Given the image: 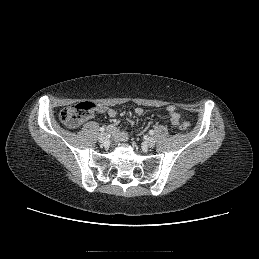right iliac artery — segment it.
Listing matches in <instances>:
<instances>
[{"label": "right iliac artery", "instance_id": "right-iliac-artery-1", "mask_svg": "<svg viewBox=\"0 0 259 259\" xmlns=\"http://www.w3.org/2000/svg\"><path fill=\"white\" fill-rule=\"evenodd\" d=\"M100 131H101V132H104V131H105V128H104V127H101V128H100Z\"/></svg>", "mask_w": 259, "mask_h": 259}]
</instances>
